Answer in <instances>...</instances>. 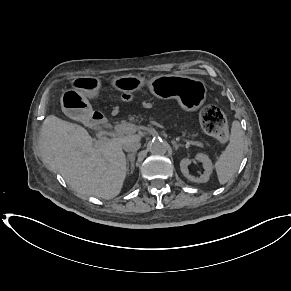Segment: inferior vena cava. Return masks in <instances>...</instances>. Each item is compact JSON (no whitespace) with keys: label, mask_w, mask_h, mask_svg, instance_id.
Returning <instances> with one entry per match:
<instances>
[{"label":"inferior vena cava","mask_w":291,"mask_h":291,"mask_svg":"<svg viewBox=\"0 0 291 291\" xmlns=\"http://www.w3.org/2000/svg\"><path fill=\"white\" fill-rule=\"evenodd\" d=\"M141 147V143L136 141H129L123 144V149L126 152H136Z\"/></svg>","instance_id":"602c4592"}]
</instances>
